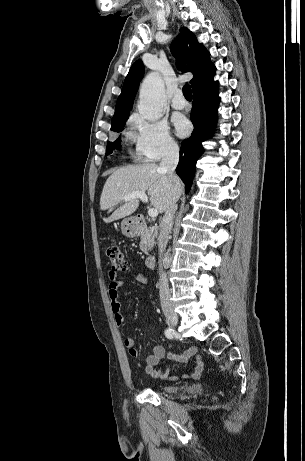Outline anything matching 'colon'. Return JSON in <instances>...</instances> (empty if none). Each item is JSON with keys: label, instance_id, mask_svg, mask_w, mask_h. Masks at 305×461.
<instances>
[{"label": "colon", "instance_id": "1", "mask_svg": "<svg viewBox=\"0 0 305 461\" xmlns=\"http://www.w3.org/2000/svg\"><path fill=\"white\" fill-rule=\"evenodd\" d=\"M107 257L110 260L111 272L114 274L124 273L128 270V264L124 253L116 245H109L106 249Z\"/></svg>", "mask_w": 305, "mask_h": 461}]
</instances>
